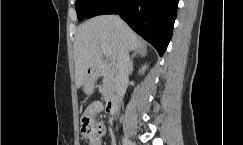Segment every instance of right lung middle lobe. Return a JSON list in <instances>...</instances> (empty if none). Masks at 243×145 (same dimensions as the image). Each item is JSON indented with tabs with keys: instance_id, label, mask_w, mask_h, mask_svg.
Returning a JSON list of instances; mask_svg holds the SVG:
<instances>
[{
	"instance_id": "obj_1",
	"label": "right lung middle lobe",
	"mask_w": 243,
	"mask_h": 145,
	"mask_svg": "<svg viewBox=\"0 0 243 145\" xmlns=\"http://www.w3.org/2000/svg\"><path fill=\"white\" fill-rule=\"evenodd\" d=\"M102 0H76V12L78 20H82Z\"/></svg>"
}]
</instances>
